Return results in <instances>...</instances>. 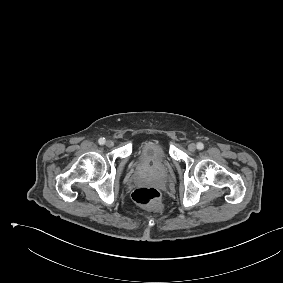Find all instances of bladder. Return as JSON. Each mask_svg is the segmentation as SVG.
Returning <instances> with one entry per match:
<instances>
[{
    "label": "bladder",
    "mask_w": 283,
    "mask_h": 283,
    "mask_svg": "<svg viewBox=\"0 0 283 283\" xmlns=\"http://www.w3.org/2000/svg\"><path fill=\"white\" fill-rule=\"evenodd\" d=\"M136 162L143 167L154 166L163 168L168 166L169 158L164 146L158 141H145L136 151Z\"/></svg>",
    "instance_id": "31cf9c89"
}]
</instances>
